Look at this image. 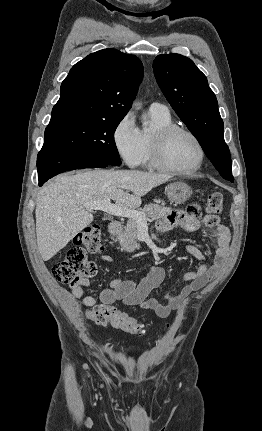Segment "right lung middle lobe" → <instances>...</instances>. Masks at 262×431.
Listing matches in <instances>:
<instances>
[{
	"instance_id": "obj_1",
	"label": "right lung middle lobe",
	"mask_w": 262,
	"mask_h": 431,
	"mask_svg": "<svg viewBox=\"0 0 262 431\" xmlns=\"http://www.w3.org/2000/svg\"><path fill=\"white\" fill-rule=\"evenodd\" d=\"M122 119H81L48 125L41 150L77 153L120 165L114 132Z\"/></svg>"
}]
</instances>
